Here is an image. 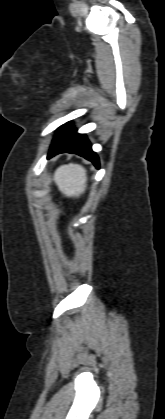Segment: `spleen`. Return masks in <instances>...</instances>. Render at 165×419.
I'll return each mask as SVG.
<instances>
[{"instance_id": "spleen-1", "label": "spleen", "mask_w": 165, "mask_h": 419, "mask_svg": "<svg viewBox=\"0 0 165 419\" xmlns=\"http://www.w3.org/2000/svg\"><path fill=\"white\" fill-rule=\"evenodd\" d=\"M54 180L63 194L78 197L86 189V170L79 164L62 165L55 171Z\"/></svg>"}]
</instances>
